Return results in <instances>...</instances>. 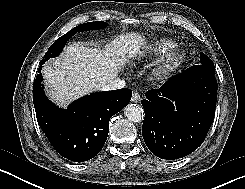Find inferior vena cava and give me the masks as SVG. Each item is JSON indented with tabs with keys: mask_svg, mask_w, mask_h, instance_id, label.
Wrapping results in <instances>:
<instances>
[{
	"mask_svg": "<svg viewBox=\"0 0 245 189\" xmlns=\"http://www.w3.org/2000/svg\"><path fill=\"white\" fill-rule=\"evenodd\" d=\"M125 81L119 78H115L110 81L107 85L103 87V90H116V89H121L124 88L125 86Z\"/></svg>",
	"mask_w": 245,
	"mask_h": 189,
	"instance_id": "602c4592",
	"label": "inferior vena cava"
}]
</instances>
